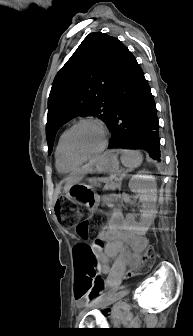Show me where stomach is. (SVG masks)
<instances>
[{
  "label": "stomach",
  "instance_id": "0dacf381",
  "mask_svg": "<svg viewBox=\"0 0 193 336\" xmlns=\"http://www.w3.org/2000/svg\"><path fill=\"white\" fill-rule=\"evenodd\" d=\"M118 171L119 161L117 160V156L112 152H106L102 156L98 157L97 161L90 168L89 173L110 176L109 178L102 179L108 183L112 180V177L117 175ZM86 180L89 184H74L69 190V195L77 200V202L82 206H85L89 210H93L99 202V197L94 192L93 186L101 181V179L87 178Z\"/></svg>",
  "mask_w": 193,
  "mask_h": 336
}]
</instances>
